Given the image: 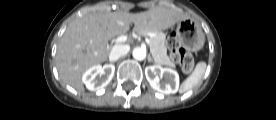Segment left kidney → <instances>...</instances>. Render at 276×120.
Returning <instances> with one entry per match:
<instances>
[{"label":"left kidney","instance_id":"obj_1","mask_svg":"<svg viewBox=\"0 0 276 120\" xmlns=\"http://www.w3.org/2000/svg\"><path fill=\"white\" fill-rule=\"evenodd\" d=\"M164 76L165 82H160L157 75ZM145 76L150 86L163 94L175 93L179 85V76L175 70L162 68L160 65L147 66Z\"/></svg>","mask_w":276,"mask_h":120}]
</instances>
